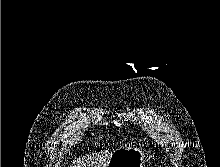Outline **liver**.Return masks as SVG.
Here are the masks:
<instances>
[{"instance_id": "6515ba94", "label": "liver", "mask_w": 220, "mask_h": 167, "mask_svg": "<svg viewBox=\"0 0 220 167\" xmlns=\"http://www.w3.org/2000/svg\"><path fill=\"white\" fill-rule=\"evenodd\" d=\"M112 152L104 151L82 157L70 167H106Z\"/></svg>"}]
</instances>
